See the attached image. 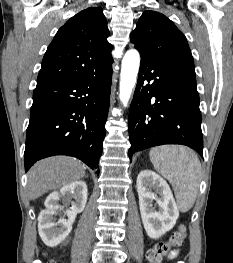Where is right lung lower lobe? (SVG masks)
I'll list each match as a JSON object with an SVG mask.
<instances>
[{
    "label": "right lung lower lobe",
    "mask_w": 233,
    "mask_h": 263,
    "mask_svg": "<svg viewBox=\"0 0 233 263\" xmlns=\"http://www.w3.org/2000/svg\"><path fill=\"white\" fill-rule=\"evenodd\" d=\"M112 62L85 78L35 88L24 152L26 172L45 157L69 155L99 174Z\"/></svg>",
    "instance_id": "obj_1"
}]
</instances>
